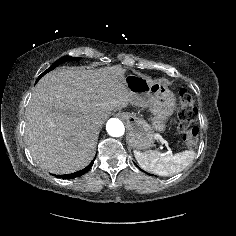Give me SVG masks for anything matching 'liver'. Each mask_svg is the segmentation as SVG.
<instances>
[{
	"label": "liver",
	"instance_id": "liver-1",
	"mask_svg": "<svg viewBox=\"0 0 236 236\" xmlns=\"http://www.w3.org/2000/svg\"><path fill=\"white\" fill-rule=\"evenodd\" d=\"M124 70L58 69L36 84L26 109L25 135L34 161L54 174L86 167L95 155L98 131L111 111L132 102ZM100 126L94 128L93 122Z\"/></svg>",
	"mask_w": 236,
	"mask_h": 236
}]
</instances>
